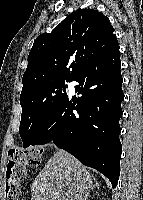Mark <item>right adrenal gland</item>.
I'll return each mask as SVG.
<instances>
[{"label":"right adrenal gland","instance_id":"2a0ac1e0","mask_svg":"<svg viewBox=\"0 0 143 200\" xmlns=\"http://www.w3.org/2000/svg\"><path fill=\"white\" fill-rule=\"evenodd\" d=\"M95 182H96V181H95ZM95 187H97V188L99 187V184H98L97 182H96V184H95ZM83 200H89V199H88V197H87V198H85V199H83Z\"/></svg>","mask_w":143,"mask_h":200}]
</instances>
